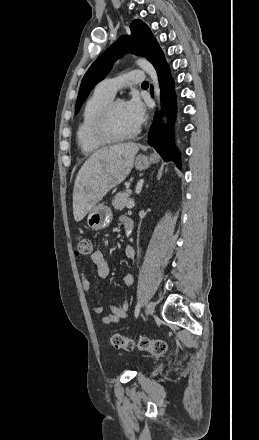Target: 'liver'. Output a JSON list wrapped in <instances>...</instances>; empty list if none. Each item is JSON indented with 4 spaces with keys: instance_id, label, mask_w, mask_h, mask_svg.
Here are the masks:
<instances>
[{
    "instance_id": "obj_1",
    "label": "liver",
    "mask_w": 259,
    "mask_h": 440,
    "mask_svg": "<svg viewBox=\"0 0 259 440\" xmlns=\"http://www.w3.org/2000/svg\"><path fill=\"white\" fill-rule=\"evenodd\" d=\"M137 143H124L94 152L79 170L73 190V215L81 221L116 185L129 175L140 149Z\"/></svg>"
}]
</instances>
